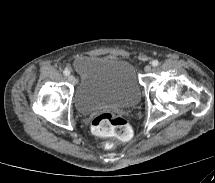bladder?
Wrapping results in <instances>:
<instances>
[{
	"mask_svg": "<svg viewBox=\"0 0 215 183\" xmlns=\"http://www.w3.org/2000/svg\"><path fill=\"white\" fill-rule=\"evenodd\" d=\"M74 70L79 77L74 105L82 114L132 107L140 99L136 70L126 60L87 55L75 60Z\"/></svg>",
	"mask_w": 215,
	"mask_h": 183,
	"instance_id": "obj_1",
	"label": "bladder"
}]
</instances>
